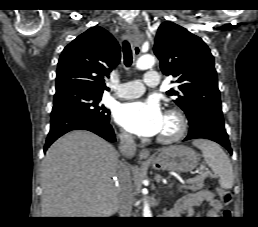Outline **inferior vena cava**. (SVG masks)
Returning <instances> with one entry per match:
<instances>
[{
	"label": "inferior vena cava",
	"mask_w": 258,
	"mask_h": 227,
	"mask_svg": "<svg viewBox=\"0 0 258 227\" xmlns=\"http://www.w3.org/2000/svg\"><path fill=\"white\" fill-rule=\"evenodd\" d=\"M120 143L119 150L123 156L131 158L135 155L136 144L133 137L123 132L119 135ZM119 173L122 176V181L119 189V216L131 217L132 210V186L130 180V173L128 172L126 164L120 162Z\"/></svg>",
	"instance_id": "inferior-vena-cava-1"
}]
</instances>
